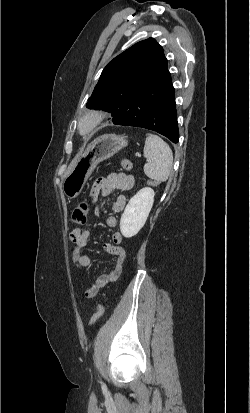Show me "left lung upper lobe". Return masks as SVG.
Masks as SVG:
<instances>
[{"instance_id": "1", "label": "left lung upper lobe", "mask_w": 250, "mask_h": 413, "mask_svg": "<svg viewBox=\"0 0 250 413\" xmlns=\"http://www.w3.org/2000/svg\"><path fill=\"white\" fill-rule=\"evenodd\" d=\"M167 74L163 48L153 38L143 40L108 63L86 106L114 115L138 85L155 82Z\"/></svg>"}]
</instances>
